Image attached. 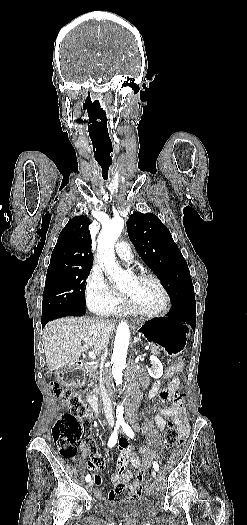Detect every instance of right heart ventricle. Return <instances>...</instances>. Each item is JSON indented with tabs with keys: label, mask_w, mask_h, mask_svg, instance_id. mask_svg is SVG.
<instances>
[{
	"label": "right heart ventricle",
	"mask_w": 247,
	"mask_h": 525,
	"mask_svg": "<svg viewBox=\"0 0 247 525\" xmlns=\"http://www.w3.org/2000/svg\"><path fill=\"white\" fill-rule=\"evenodd\" d=\"M131 311H132V308H131L130 305L123 304V305H118V306L113 307L111 309V311L109 313H107V315H109V316H112V315H117V316L127 315V314H130Z\"/></svg>",
	"instance_id": "e07e8e85"
}]
</instances>
